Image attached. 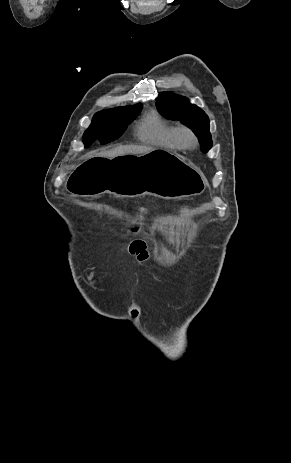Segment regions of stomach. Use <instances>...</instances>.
Returning a JSON list of instances; mask_svg holds the SVG:
<instances>
[{"label": "stomach", "instance_id": "0dacf381", "mask_svg": "<svg viewBox=\"0 0 291 463\" xmlns=\"http://www.w3.org/2000/svg\"><path fill=\"white\" fill-rule=\"evenodd\" d=\"M120 157V158H119ZM69 177L72 194L94 197L110 193L133 198L146 194L164 199L199 195L206 187L202 171L182 156L155 149L140 155L83 159Z\"/></svg>", "mask_w": 291, "mask_h": 463}]
</instances>
